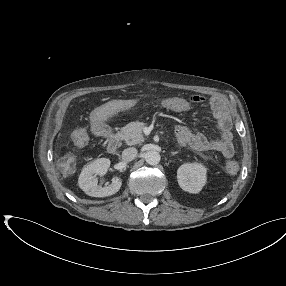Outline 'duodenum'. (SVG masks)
<instances>
[{
	"mask_svg": "<svg viewBox=\"0 0 286 286\" xmlns=\"http://www.w3.org/2000/svg\"><path fill=\"white\" fill-rule=\"evenodd\" d=\"M100 126V134L101 135H109V131L107 130L105 124L103 122L99 123ZM120 140L117 136H112L109 138L107 142V148L110 152L114 153L117 151L119 147Z\"/></svg>",
	"mask_w": 286,
	"mask_h": 286,
	"instance_id": "duodenum-1",
	"label": "duodenum"
}]
</instances>
